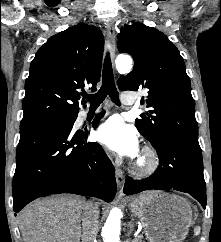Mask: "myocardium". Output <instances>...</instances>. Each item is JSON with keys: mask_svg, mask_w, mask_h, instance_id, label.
Masks as SVG:
<instances>
[{"mask_svg": "<svg viewBox=\"0 0 221 242\" xmlns=\"http://www.w3.org/2000/svg\"><path fill=\"white\" fill-rule=\"evenodd\" d=\"M159 166V156L156 150L149 145L142 148L139 155L131 163V168L138 176H149Z\"/></svg>", "mask_w": 221, "mask_h": 242, "instance_id": "myocardium-1", "label": "myocardium"}]
</instances>
